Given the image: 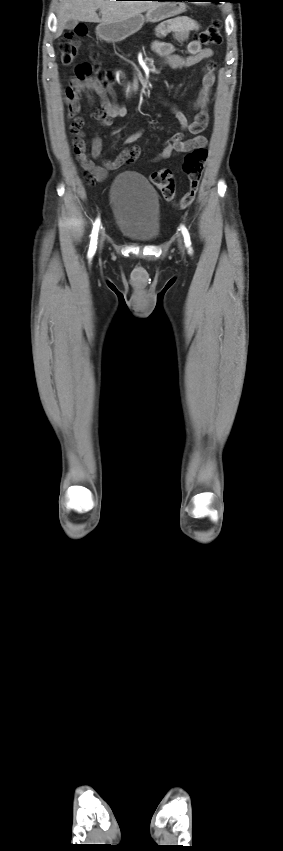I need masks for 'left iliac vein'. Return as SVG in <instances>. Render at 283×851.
<instances>
[{
  "label": "left iliac vein",
  "mask_w": 283,
  "mask_h": 851,
  "mask_svg": "<svg viewBox=\"0 0 283 851\" xmlns=\"http://www.w3.org/2000/svg\"><path fill=\"white\" fill-rule=\"evenodd\" d=\"M178 245H179L180 250L183 251V242H182L181 237L178 238Z\"/></svg>",
  "instance_id": "obj_1"
}]
</instances>
